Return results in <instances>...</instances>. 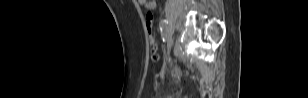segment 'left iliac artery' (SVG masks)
I'll list each match as a JSON object with an SVG mask.
<instances>
[{
	"label": "left iliac artery",
	"mask_w": 308,
	"mask_h": 98,
	"mask_svg": "<svg viewBox=\"0 0 308 98\" xmlns=\"http://www.w3.org/2000/svg\"><path fill=\"white\" fill-rule=\"evenodd\" d=\"M167 25H168V21L167 20H162V22L160 23V30L164 31L167 29Z\"/></svg>",
	"instance_id": "obj_1"
}]
</instances>
